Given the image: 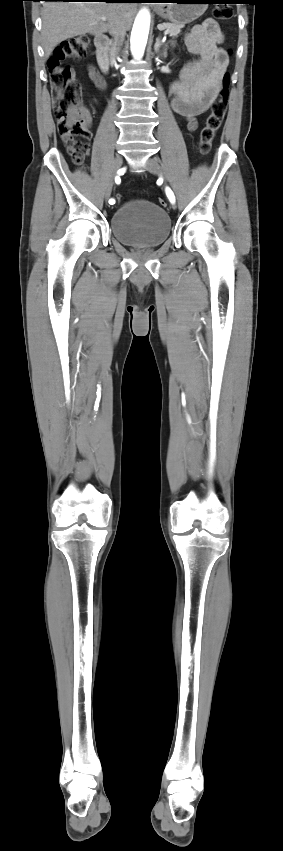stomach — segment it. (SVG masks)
<instances>
[{
  "mask_svg": "<svg viewBox=\"0 0 283 851\" xmlns=\"http://www.w3.org/2000/svg\"><path fill=\"white\" fill-rule=\"evenodd\" d=\"M156 12L173 24L185 25L199 18L208 7V0H164Z\"/></svg>",
  "mask_w": 283,
  "mask_h": 851,
  "instance_id": "1",
  "label": "stomach"
}]
</instances>
